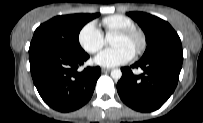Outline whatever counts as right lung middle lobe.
<instances>
[{
  "mask_svg": "<svg viewBox=\"0 0 203 123\" xmlns=\"http://www.w3.org/2000/svg\"><path fill=\"white\" fill-rule=\"evenodd\" d=\"M98 16L95 13L54 17L35 30L30 45H43L70 52L83 51L79 44L80 30Z\"/></svg>",
  "mask_w": 203,
  "mask_h": 123,
  "instance_id": "right-lung-middle-lobe-1",
  "label": "right lung middle lobe"
}]
</instances>
